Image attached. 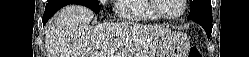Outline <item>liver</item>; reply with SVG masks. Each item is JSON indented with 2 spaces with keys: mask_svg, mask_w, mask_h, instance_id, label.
Wrapping results in <instances>:
<instances>
[{
  "mask_svg": "<svg viewBox=\"0 0 249 57\" xmlns=\"http://www.w3.org/2000/svg\"><path fill=\"white\" fill-rule=\"evenodd\" d=\"M94 13L70 4L46 24L48 57H155L159 38L169 32L157 26L109 22L90 26Z\"/></svg>",
  "mask_w": 249,
  "mask_h": 57,
  "instance_id": "liver-1",
  "label": "liver"
}]
</instances>
